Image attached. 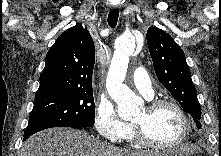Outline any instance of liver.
Listing matches in <instances>:
<instances>
[{
	"label": "liver",
	"mask_w": 221,
	"mask_h": 156,
	"mask_svg": "<svg viewBox=\"0 0 221 156\" xmlns=\"http://www.w3.org/2000/svg\"><path fill=\"white\" fill-rule=\"evenodd\" d=\"M195 146L185 145L190 154ZM21 156H151L147 152L120 149L104 144L84 131L71 128H53L41 131L25 141Z\"/></svg>",
	"instance_id": "1"
}]
</instances>
